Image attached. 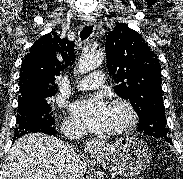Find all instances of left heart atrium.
Masks as SVG:
<instances>
[{"instance_id": "1", "label": "left heart atrium", "mask_w": 183, "mask_h": 179, "mask_svg": "<svg viewBox=\"0 0 183 179\" xmlns=\"http://www.w3.org/2000/svg\"><path fill=\"white\" fill-rule=\"evenodd\" d=\"M72 111L88 130L102 132L107 129L109 106L101 97L78 101L73 105Z\"/></svg>"}]
</instances>
